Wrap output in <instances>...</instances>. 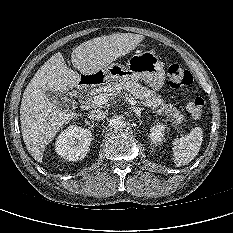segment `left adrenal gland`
Returning a JSON list of instances; mask_svg holds the SVG:
<instances>
[{
	"label": "left adrenal gland",
	"mask_w": 233,
	"mask_h": 233,
	"mask_svg": "<svg viewBox=\"0 0 233 233\" xmlns=\"http://www.w3.org/2000/svg\"><path fill=\"white\" fill-rule=\"evenodd\" d=\"M131 111H133L134 113H136L139 117H141V112L142 110H144V108L142 107H130Z\"/></svg>",
	"instance_id": "obj_1"
}]
</instances>
